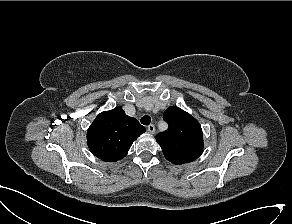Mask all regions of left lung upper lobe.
<instances>
[{
	"mask_svg": "<svg viewBox=\"0 0 292 224\" xmlns=\"http://www.w3.org/2000/svg\"><path fill=\"white\" fill-rule=\"evenodd\" d=\"M169 128L156 136L165 158L180 165L196 160L203 152V134L199 122L177 106L164 112Z\"/></svg>",
	"mask_w": 292,
	"mask_h": 224,
	"instance_id": "5c2ea615",
	"label": "left lung upper lobe"
}]
</instances>
